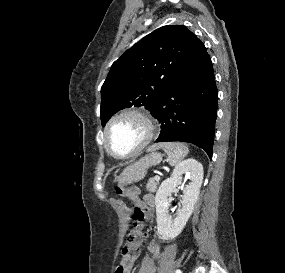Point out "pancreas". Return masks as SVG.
<instances>
[{
	"label": "pancreas",
	"mask_w": 285,
	"mask_h": 273,
	"mask_svg": "<svg viewBox=\"0 0 285 273\" xmlns=\"http://www.w3.org/2000/svg\"><path fill=\"white\" fill-rule=\"evenodd\" d=\"M158 184H159V180H155L154 178H150L146 184V190L154 193L157 190Z\"/></svg>",
	"instance_id": "obj_1"
}]
</instances>
